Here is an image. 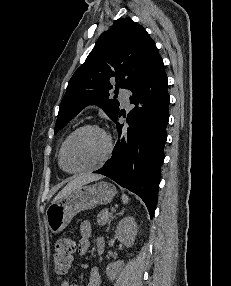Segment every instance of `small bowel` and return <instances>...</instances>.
Returning <instances> with one entry per match:
<instances>
[{"instance_id": "obj_1", "label": "small bowel", "mask_w": 231, "mask_h": 286, "mask_svg": "<svg viewBox=\"0 0 231 286\" xmlns=\"http://www.w3.org/2000/svg\"><path fill=\"white\" fill-rule=\"evenodd\" d=\"M81 239L78 244V252L80 255L87 253L90 247V237L92 234V225L90 221L85 220L80 224L79 227ZM101 241L98 242V244ZM61 286H79L77 283L64 280L61 283ZM87 286H100V275L97 267H92L89 276V282Z\"/></svg>"}]
</instances>
